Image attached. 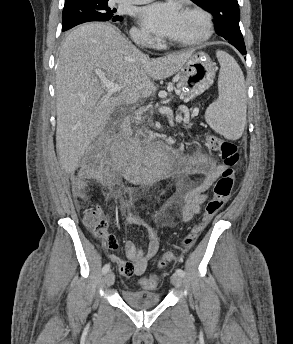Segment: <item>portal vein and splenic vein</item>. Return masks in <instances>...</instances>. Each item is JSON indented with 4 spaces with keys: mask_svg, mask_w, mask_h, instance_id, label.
Wrapping results in <instances>:
<instances>
[{
    "mask_svg": "<svg viewBox=\"0 0 293 344\" xmlns=\"http://www.w3.org/2000/svg\"><path fill=\"white\" fill-rule=\"evenodd\" d=\"M100 77L102 78V74H100ZM101 82H102L103 86L106 88L109 95L122 90L121 85L114 83V82H111L107 79L102 78ZM198 111L199 110L197 108H195L193 113H192V116H197ZM180 120H181V118L178 119V121H180ZM188 121H189V117L184 118V122H188Z\"/></svg>",
    "mask_w": 293,
    "mask_h": 344,
    "instance_id": "portal-vein-and-splenic-vein-1",
    "label": "portal vein and splenic vein"
}]
</instances>
